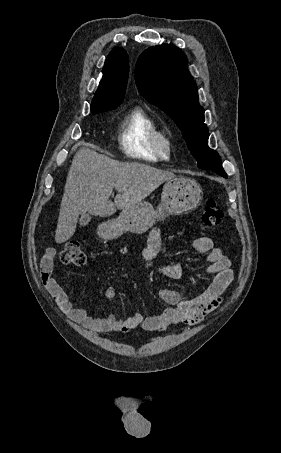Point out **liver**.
Returning <instances> with one entry per match:
<instances>
[{"label":"liver","instance_id":"6515ba94","mask_svg":"<svg viewBox=\"0 0 281 453\" xmlns=\"http://www.w3.org/2000/svg\"><path fill=\"white\" fill-rule=\"evenodd\" d=\"M174 172L160 170L143 162H120L91 148H80L73 156L65 192L60 204L56 243L69 241L76 231L79 214L111 216L116 208H131L141 202ZM113 188L119 190L114 202Z\"/></svg>","mask_w":281,"mask_h":453}]
</instances>
